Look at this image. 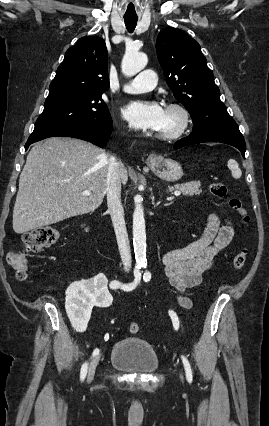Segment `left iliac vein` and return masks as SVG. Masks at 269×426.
Wrapping results in <instances>:
<instances>
[{"instance_id": "left-iliac-vein-1", "label": "left iliac vein", "mask_w": 269, "mask_h": 426, "mask_svg": "<svg viewBox=\"0 0 269 426\" xmlns=\"http://www.w3.org/2000/svg\"><path fill=\"white\" fill-rule=\"evenodd\" d=\"M180 379L183 381L184 380V375L183 372L180 373Z\"/></svg>"}]
</instances>
